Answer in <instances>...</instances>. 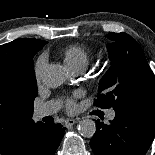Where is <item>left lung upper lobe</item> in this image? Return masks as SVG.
Listing matches in <instances>:
<instances>
[{"mask_svg":"<svg viewBox=\"0 0 155 155\" xmlns=\"http://www.w3.org/2000/svg\"><path fill=\"white\" fill-rule=\"evenodd\" d=\"M111 67L99 82L95 105L115 111L155 102V75L138 42L126 33H109Z\"/></svg>","mask_w":155,"mask_h":155,"instance_id":"1","label":"left lung upper lobe"}]
</instances>
